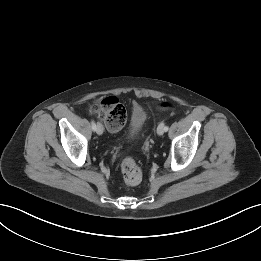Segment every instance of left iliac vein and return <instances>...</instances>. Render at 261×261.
Wrapping results in <instances>:
<instances>
[{
  "mask_svg": "<svg viewBox=\"0 0 261 261\" xmlns=\"http://www.w3.org/2000/svg\"><path fill=\"white\" fill-rule=\"evenodd\" d=\"M165 132V125L163 123L159 124L157 128V134L158 135H163Z\"/></svg>",
  "mask_w": 261,
  "mask_h": 261,
  "instance_id": "4c4485c4",
  "label": "left iliac vein"
}]
</instances>
